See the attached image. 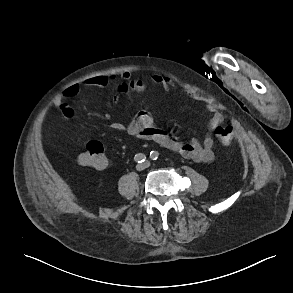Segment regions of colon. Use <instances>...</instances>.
Returning a JSON list of instances; mask_svg holds the SVG:
<instances>
[{"label": "colon", "mask_w": 293, "mask_h": 293, "mask_svg": "<svg viewBox=\"0 0 293 293\" xmlns=\"http://www.w3.org/2000/svg\"><path fill=\"white\" fill-rule=\"evenodd\" d=\"M215 135L223 145H229L233 139V127L228 124L220 125L215 128ZM78 162L84 167L93 169H105L109 161L105 154V147L99 141H92L87 144L86 149L79 154Z\"/></svg>", "instance_id": "obj_1"}]
</instances>
